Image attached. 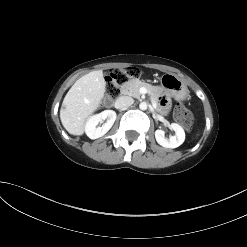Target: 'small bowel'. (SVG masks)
I'll return each instance as SVG.
<instances>
[{"label":"small bowel","instance_id":"1","mask_svg":"<svg viewBox=\"0 0 247 247\" xmlns=\"http://www.w3.org/2000/svg\"><path fill=\"white\" fill-rule=\"evenodd\" d=\"M161 103H162L163 105H166V104H167V101H166L165 99H162V100H161Z\"/></svg>","mask_w":247,"mask_h":247}]
</instances>
